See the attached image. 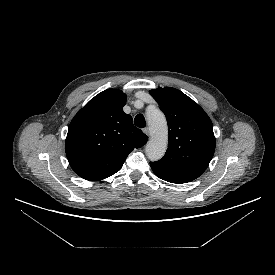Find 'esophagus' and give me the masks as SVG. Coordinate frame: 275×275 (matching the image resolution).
Here are the masks:
<instances>
[{"mask_svg":"<svg viewBox=\"0 0 275 275\" xmlns=\"http://www.w3.org/2000/svg\"><path fill=\"white\" fill-rule=\"evenodd\" d=\"M143 132H144L146 135H148V136H149V134H150V131H149V128H148V127L144 128V129H143Z\"/></svg>","mask_w":275,"mask_h":275,"instance_id":"34e87169","label":"esophagus"}]
</instances>
